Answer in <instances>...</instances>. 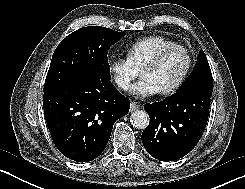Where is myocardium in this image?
I'll return each mask as SVG.
<instances>
[{"instance_id":"myocardium-1","label":"myocardium","mask_w":245,"mask_h":189,"mask_svg":"<svg viewBox=\"0 0 245 189\" xmlns=\"http://www.w3.org/2000/svg\"><path fill=\"white\" fill-rule=\"evenodd\" d=\"M174 50H181L182 52L185 53L186 57H187V66L186 69L184 71V73L182 74V76L180 77V79L174 83L172 86L160 91V94L162 95H171L176 93L187 81L192 68H193V56L191 54V52L183 45H179V44H171L169 46H166L164 48H162L158 53H156V55L151 58L145 65L144 67L140 70V75H142L145 71L151 70L155 67H157L162 61L163 59L171 52Z\"/></svg>"}]
</instances>
